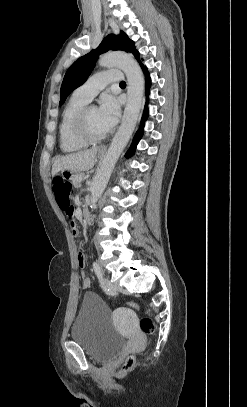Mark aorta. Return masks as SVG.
Segmentation results:
<instances>
[{
  "label": "aorta",
  "instance_id": "762f6f07",
  "mask_svg": "<svg viewBox=\"0 0 247 407\" xmlns=\"http://www.w3.org/2000/svg\"><path fill=\"white\" fill-rule=\"evenodd\" d=\"M101 67H118L124 71L128 81L127 103L121 125L98 169L91 188L90 205L94 206L101 197L109 181L114 166L127 145L136 126L142 107L144 95V78L138 63L124 52L104 54L100 60Z\"/></svg>",
  "mask_w": 247,
  "mask_h": 407
}]
</instances>
